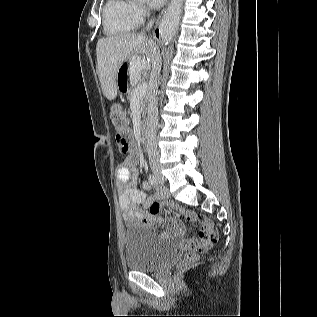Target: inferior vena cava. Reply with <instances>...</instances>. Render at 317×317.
<instances>
[{
    "mask_svg": "<svg viewBox=\"0 0 317 317\" xmlns=\"http://www.w3.org/2000/svg\"><path fill=\"white\" fill-rule=\"evenodd\" d=\"M153 23L154 21L150 20L146 29L149 30L152 27ZM153 57L154 59L151 72L153 92L151 93L148 99L147 126L145 130V139L150 165L151 168L154 170L159 166V151L157 148L156 141L158 125V101L155 95V91L158 88L157 80L160 75L162 66V60L157 46L154 47Z\"/></svg>",
    "mask_w": 317,
    "mask_h": 317,
    "instance_id": "1",
    "label": "inferior vena cava"
}]
</instances>
